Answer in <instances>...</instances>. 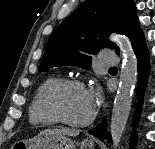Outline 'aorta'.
<instances>
[{
	"instance_id": "762f6f07",
	"label": "aorta",
	"mask_w": 155,
	"mask_h": 149,
	"mask_svg": "<svg viewBox=\"0 0 155 149\" xmlns=\"http://www.w3.org/2000/svg\"><path fill=\"white\" fill-rule=\"evenodd\" d=\"M112 39L117 43L124 57L110 122L113 147L117 149L131 110L132 95L138 75V63L132 44L126 36L113 35Z\"/></svg>"
}]
</instances>
